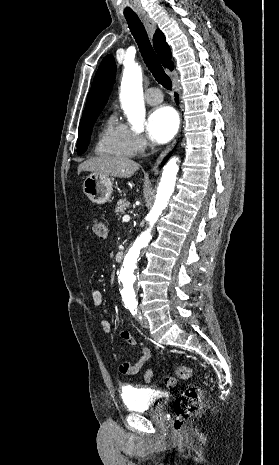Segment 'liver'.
<instances>
[{
	"label": "liver",
	"mask_w": 279,
	"mask_h": 465,
	"mask_svg": "<svg viewBox=\"0 0 279 465\" xmlns=\"http://www.w3.org/2000/svg\"><path fill=\"white\" fill-rule=\"evenodd\" d=\"M139 169V164L126 157L102 155L90 158L78 167V173L89 171L103 176L129 178Z\"/></svg>",
	"instance_id": "1"
}]
</instances>
